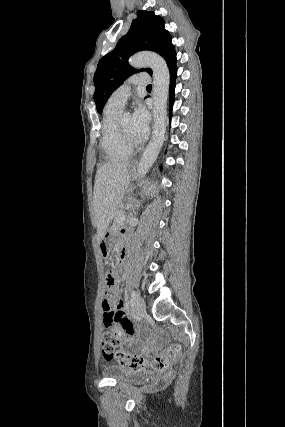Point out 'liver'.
<instances>
[{
    "instance_id": "1",
    "label": "liver",
    "mask_w": 285,
    "mask_h": 427,
    "mask_svg": "<svg viewBox=\"0 0 285 427\" xmlns=\"http://www.w3.org/2000/svg\"><path fill=\"white\" fill-rule=\"evenodd\" d=\"M128 162H109L96 172L93 192L98 237L107 231L130 183Z\"/></svg>"
}]
</instances>
